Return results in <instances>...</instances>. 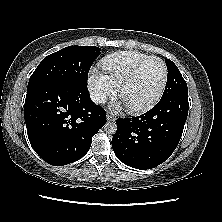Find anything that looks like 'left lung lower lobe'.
I'll use <instances>...</instances> for the list:
<instances>
[{"label":"left lung lower lobe","instance_id":"1","mask_svg":"<svg viewBox=\"0 0 222 222\" xmlns=\"http://www.w3.org/2000/svg\"><path fill=\"white\" fill-rule=\"evenodd\" d=\"M188 94L162 97L151 110L133 118H118L112 147L117 158L137 169H151L177 147L188 115Z\"/></svg>","mask_w":222,"mask_h":222}]
</instances>
